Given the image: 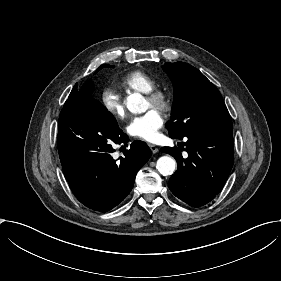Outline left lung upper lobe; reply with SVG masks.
<instances>
[{"mask_svg":"<svg viewBox=\"0 0 281 281\" xmlns=\"http://www.w3.org/2000/svg\"><path fill=\"white\" fill-rule=\"evenodd\" d=\"M174 88L171 119L166 124L172 138L217 129H232V121L217 88L195 67L165 63Z\"/></svg>","mask_w":281,"mask_h":281,"instance_id":"left-lung-upper-lobe-1","label":"left lung upper lobe"}]
</instances>
